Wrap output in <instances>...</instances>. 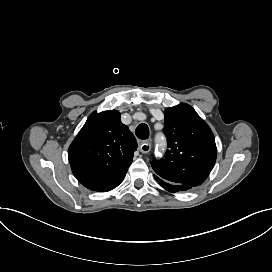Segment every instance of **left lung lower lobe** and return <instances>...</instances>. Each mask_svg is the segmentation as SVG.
I'll use <instances>...</instances> for the list:
<instances>
[{
  "label": "left lung lower lobe",
  "mask_w": 272,
  "mask_h": 272,
  "mask_svg": "<svg viewBox=\"0 0 272 272\" xmlns=\"http://www.w3.org/2000/svg\"><path fill=\"white\" fill-rule=\"evenodd\" d=\"M154 178L163 188H165L167 191L172 192V193L179 192V191H186V190L191 189V187L168 182V181L160 178L157 175H154Z\"/></svg>",
  "instance_id": "obj_1"
}]
</instances>
